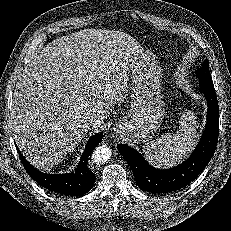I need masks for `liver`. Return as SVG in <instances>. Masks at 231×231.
I'll return each mask as SVG.
<instances>
[{"instance_id":"liver-1","label":"liver","mask_w":231,"mask_h":231,"mask_svg":"<svg viewBox=\"0 0 231 231\" xmlns=\"http://www.w3.org/2000/svg\"><path fill=\"white\" fill-rule=\"evenodd\" d=\"M142 53L131 36L83 29L53 40L26 65L13 93L18 147L34 166L62 162L85 137L89 118L102 122L127 92L130 61Z\"/></svg>"}]
</instances>
